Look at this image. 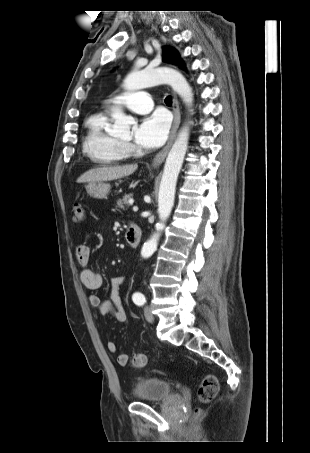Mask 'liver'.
<instances>
[{
    "mask_svg": "<svg viewBox=\"0 0 310 453\" xmlns=\"http://www.w3.org/2000/svg\"><path fill=\"white\" fill-rule=\"evenodd\" d=\"M137 168V164L93 168L82 174L77 179V183H94L116 180L131 175Z\"/></svg>",
    "mask_w": 310,
    "mask_h": 453,
    "instance_id": "1",
    "label": "liver"
}]
</instances>
